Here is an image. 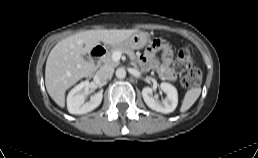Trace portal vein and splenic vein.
I'll use <instances>...</instances> for the list:
<instances>
[{"mask_svg": "<svg viewBox=\"0 0 258 158\" xmlns=\"http://www.w3.org/2000/svg\"><path fill=\"white\" fill-rule=\"evenodd\" d=\"M121 55H122V52H115V53L113 54V59H114L115 61H119L120 58H121Z\"/></svg>", "mask_w": 258, "mask_h": 158, "instance_id": "1", "label": "portal vein and splenic vein"}]
</instances>
